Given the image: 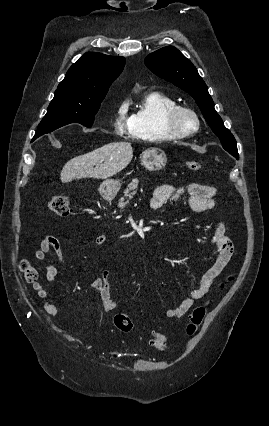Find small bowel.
Returning <instances> with one entry per match:
<instances>
[{"mask_svg": "<svg viewBox=\"0 0 269 426\" xmlns=\"http://www.w3.org/2000/svg\"><path fill=\"white\" fill-rule=\"evenodd\" d=\"M216 192L217 190L214 187L198 183H189L182 187L161 185L154 191V195L151 199V207L153 209H160L166 202L176 200L181 195L187 194L188 205L191 210L195 212H206L215 207ZM106 242L107 236L104 234L97 235L94 238V243L96 245H102ZM211 243L216 247L218 252L211 266L200 277L197 286L191 291L190 295L184 298L177 306L167 309L164 313V317L180 318L184 316L197 300L202 299L208 293L213 283L219 278L231 260L234 247L232 241L225 236L223 224L219 223L215 227ZM50 253H54L60 263H65V257L59 239L55 236L47 235L43 238L39 249L35 252V261H45ZM110 275L111 271L106 269L102 272L101 276L95 278L92 282V286L100 296L106 311H113L118 307L117 302L111 297V286L109 283ZM45 276L50 283H54L57 277L56 267L48 265L45 269ZM32 289L43 301L45 312L50 315H57L58 308L49 300L48 292L42 284L38 281L33 282Z\"/></svg>", "mask_w": 269, "mask_h": 426, "instance_id": "small-bowel-1", "label": "small bowel"}]
</instances>
